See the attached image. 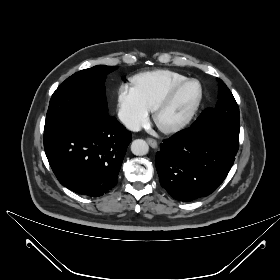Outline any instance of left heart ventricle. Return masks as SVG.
<instances>
[{"label": "left heart ventricle", "instance_id": "b2bd125f", "mask_svg": "<svg viewBox=\"0 0 280 280\" xmlns=\"http://www.w3.org/2000/svg\"><path fill=\"white\" fill-rule=\"evenodd\" d=\"M197 84H189L178 91L172 102L158 117L161 126H168L182 119L190 110L198 96Z\"/></svg>", "mask_w": 280, "mask_h": 280}]
</instances>
